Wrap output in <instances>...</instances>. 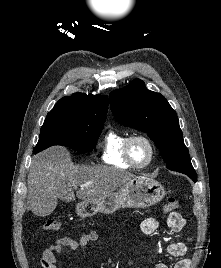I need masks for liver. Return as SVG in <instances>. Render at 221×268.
<instances>
[{"instance_id":"liver-1","label":"liver","mask_w":221,"mask_h":268,"mask_svg":"<svg viewBox=\"0 0 221 268\" xmlns=\"http://www.w3.org/2000/svg\"><path fill=\"white\" fill-rule=\"evenodd\" d=\"M135 176L109 166H74L70 153L60 146L51 147L32 158L28 174V210L37 216L51 214L58 199L75 200L73 187L80 186L76 196L97 200L112 193ZM54 211V210H53Z\"/></svg>"}]
</instances>
